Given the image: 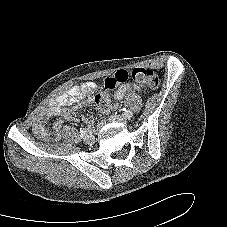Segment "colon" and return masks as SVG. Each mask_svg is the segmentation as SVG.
<instances>
[{"mask_svg": "<svg viewBox=\"0 0 227 227\" xmlns=\"http://www.w3.org/2000/svg\"><path fill=\"white\" fill-rule=\"evenodd\" d=\"M128 78H132L139 85L147 89H156L160 83L158 75L149 68L136 67L130 71L118 70L112 76L105 79L104 88L95 97L96 105L100 110L107 111L109 109L110 90L125 83Z\"/></svg>", "mask_w": 227, "mask_h": 227, "instance_id": "1", "label": "colon"}]
</instances>
